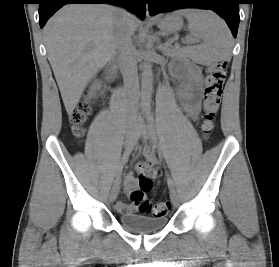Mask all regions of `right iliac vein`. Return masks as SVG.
Returning a JSON list of instances; mask_svg holds the SVG:
<instances>
[{"label":"right iliac vein","mask_w":279,"mask_h":267,"mask_svg":"<svg viewBox=\"0 0 279 267\" xmlns=\"http://www.w3.org/2000/svg\"><path fill=\"white\" fill-rule=\"evenodd\" d=\"M135 134H136V127L133 125H129L126 130L125 143L126 144L129 143L133 139ZM118 192H119V183L115 182L113 184V187H112L110 195H109L110 201H115V199L117 198Z\"/></svg>","instance_id":"obj_1"}]
</instances>
